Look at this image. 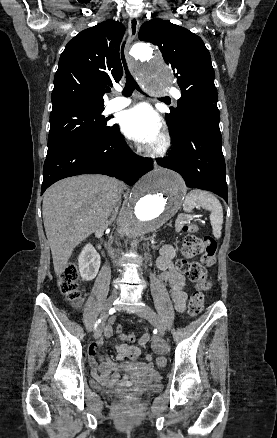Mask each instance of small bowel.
<instances>
[{"instance_id": "1", "label": "small bowel", "mask_w": 277, "mask_h": 438, "mask_svg": "<svg viewBox=\"0 0 277 438\" xmlns=\"http://www.w3.org/2000/svg\"><path fill=\"white\" fill-rule=\"evenodd\" d=\"M176 252L175 249L166 245L161 249V254L157 259V266L161 271L160 279L162 281H166L170 285L171 296L173 302L175 304V308L179 313L185 311V303H186V279L185 277L177 270L174 265V258ZM103 332L105 337L110 338L113 335L112 328L109 325L103 327ZM136 335L133 332L125 333L124 339L133 341L135 340ZM148 336L143 335L139 339V346L144 348L147 344ZM98 347L97 343H92L89 349V358L93 367V374L95 376L96 381L108 388H113L120 384V375L118 372H112L116 369V365H119V362L112 360L111 362L104 361L99 366H97L95 362V358L97 356L96 349ZM139 355V348L136 346H131L127 344H122L118 347L117 357L119 359L130 358L132 361L121 362L123 366V370L134 375H151L153 376V366H152V356L146 355L145 362L140 363L135 359ZM98 370V371H97Z\"/></svg>"}]
</instances>
